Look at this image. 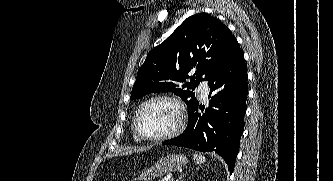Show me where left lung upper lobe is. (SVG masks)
<instances>
[{"mask_svg":"<svg viewBox=\"0 0 333 181\" xmlns=\"http://www.w3.org/2000/svg\"><path fill=\"white\" fill-rule=\"evenodd\" d=\"M238 48L236 38L219 19L207 13L190 16L148 54L137 72L131 100L170 91L190 111L199 104L195 87L223 67ZM187 78L191 81L186 82Z\"/></svg>","mask_w":333,"mask_h":181,"instance_id":"left-lung-upper-lobe-1","label":"left lung upper lobe"}]
</instances>
